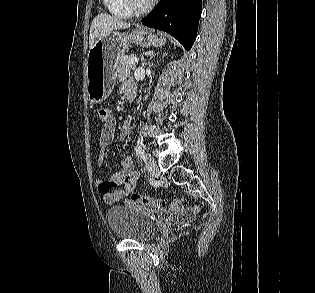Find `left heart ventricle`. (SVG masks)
<instances>
[{
  "instance_id": "left-heart-ventricle-1",
  "label": "left heart ventricle",
  "mask_w": 315,
  "mask_h": 293,
  "mask_svg": "<svg viewBox=\"0 0 315 293\" xmlns=\"http://www.w3.org/2000/svg\"><path fill=\"white\" fill-rule=\"evenodd\" d=\"M139 5H145L149 2V0H136Z\"/></svg>"
}]
</instances>
